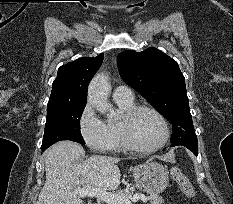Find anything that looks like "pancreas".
I'll list each match as a JSON object with an SVG mask.
<instances>
[{
	"label": "pancreas",
	"instance_id": "pancreas-1",
	"mask_svg": "<svg viewBox=\"0 0 233 204\" xmlns=\"http://www.w3.org/2000/svg\"><path fill=\"white\" fill-rule=\"evenodd\" d=\"M135 187L139 188L140 186L136 185L126 191H123L121 195L126 196V197L131 196L133 194ZM148 199L150 201V204H162L163 203L162 197H159L157 194L150 193V196Z\"/></svg>",
	"mask_w": 233,
	"mask_h": 204
}]
</instances>
